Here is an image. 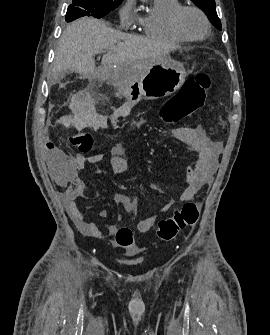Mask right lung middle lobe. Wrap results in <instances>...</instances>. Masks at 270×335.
Masks as SVG:
<instances>
[{
	"instance_id": "right-lung-middle-lobe-1",
	"label": "right lung middle lobe",
	"mask_w": 270,
	"mask_h": 335,
	"mask_svg": "<svg viewBox=\"0 0 270 335\" xmlns=\"http://www.w3.org/2000/svg\"><path fill=\"white\" fill-rule=\"evenodd\" d=\"M120 3L109 0H72L66 13V21L71 22L83 16L102 18Z\"/></svg>"
}]
</instances>
